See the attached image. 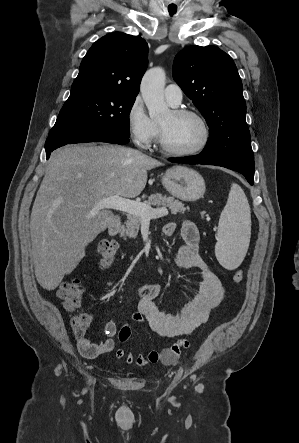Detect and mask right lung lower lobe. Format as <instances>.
Wrapping results in <instances>:
<instances>
[{
	"instance_id": "obj_1",
	"label": "right lung lower lobe",
	"mask_w": 299,
	"mask_h": 443,
	"mask_svg": "<svg viewBox=\"0 0 299 443\" xmlns=\"http://www.w3.org/2000/svg\"><path fill=\"white\" fill-rule=\"evenodd\" d=\"M86 142H107L113 144H127L129 137L114 131H97L77 134L72 137H48L45 143L47 159L50 153L66 144L86 143Z\"/></svg>"
}]
</instances>
